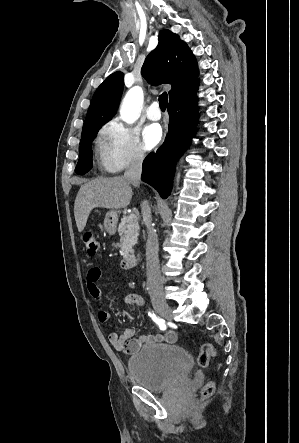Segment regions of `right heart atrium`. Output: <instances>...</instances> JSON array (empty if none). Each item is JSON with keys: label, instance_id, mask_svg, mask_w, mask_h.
Returning <instances> with one entry per match:
<instances>
[{"label": "right heart atrium", "instance_id": "d8ad5b80", "mask_svg": "<svg viewBox=\"0 0 299 443\" xmlns=\"http://www.w3.org/2000/svg\"><path fill=\"white\" fill-rule=\"evenodd\" d=\"M99 133L109 170L119 172L128 167L142 165L145 152L136 130L118 120H112L106 123Z\"/></svg>", "mask_w": 299, "mask_h": 443}]
</instances>
